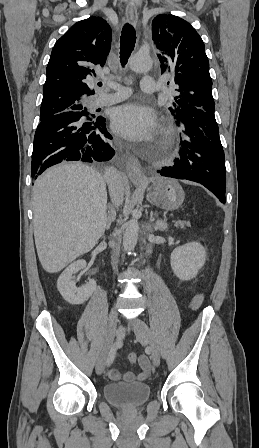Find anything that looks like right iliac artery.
<instances>
[{
    "instance_id": "right-iliac-artery-1",
    "label": "right iliac artery",
    "mask_w": 259,
    "mask_h": 448,
    "mask_svg": "<svg viewBox=\"0 0 259 448\" xmlns=\"http://www.w3.org/2000/svg\"><path fill=\"white\" fill-rule=\"evenodd\" d=\"M116 350H117L116 344H113L106 360L107 366H110L113 363L116 356Z\"/></svg>"
}]
</instances>
